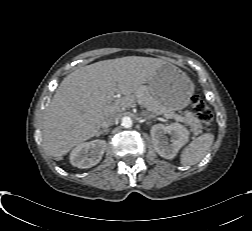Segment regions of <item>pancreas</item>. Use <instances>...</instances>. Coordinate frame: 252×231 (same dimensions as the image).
Here are the masks:
<instances>
[{
  "mask_svg": "<svg viewBox=\"0 0 252 231\" xmlns=\"http://www.w3.org/2000/svg\"><path fill=\"white\" fill-rule=\"evenodd\" d=\"M132 103L137 102L138 104L144 106L148 111L152 112L156 115H175L174 112H166L162 110L158 104L156 103L155 99L150 94L148 88L140 87L135 94L129 97ZM182 117V121L189 125L191 131L198 135L201 132L202 125L200 120L196 117V115L192 112H185L184 116Z\"/></svg>",
  "mask_w": 252,
  "mask_h": 231,
  "instance_id": "pancreas-1",
  "label": "pancreas"
}]
</instances>
